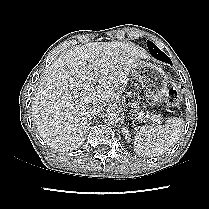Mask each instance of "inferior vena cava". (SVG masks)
<instances>
[{
	"label": "inferior vena cava",
	"mask_w": 209,
	"mask_h": 209,
	"mask_svg": "<svg viewBox=\"0 0 209 209\" xmlns=\"http://www.w3.org/2000/svg\"><path fill=\"white\" fill-rule=\"evenodd\" d=\"M101 108L100 107H93L90 111L91 116H97L101 113Z\"/></svg>",
	"instance_id": "602c4592"
}]
</instances>
